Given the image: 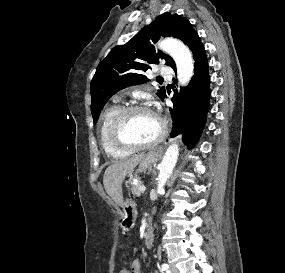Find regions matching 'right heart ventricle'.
<instances>
[{
    "label": "right heart ventricle",
    "mask_w": 285,
    "mask_h": 273,
    "mask_svg": "<svg viewBox=\"0 0 285 273\" xmlns=\"http://www.w3.org/2000/svg\"><path fill=\"white\" fill-rule=\"evenodd\" d=\"M122 106L119 103H114L106 108L101 116L99 124L100 143L105 153L114 158L126 156L129 152L117 148L110 139V127L113 119L121 110Z\"/></svg>",
    "instance_id": "e07e8e85"
}]
</instances>
